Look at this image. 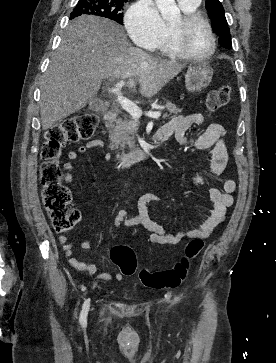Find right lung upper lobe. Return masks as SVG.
Here are the masks:
<instances>
[{
	"mask_svg": "<svg viewBox=\"0 0 276 363\" xmlns=\"http://www.w3.org/2000/svg\"><path fill=\"white\" fill-rule=\"evenodd\" d=\"M118 1H128V0H118Z\"/></svg>",
	"mask_w": 276,
	"mask_h": 363,
	"instance_id": "right-lung-upper-lobe-1",
	"label": "right lung upper lobe"
}]
</instances>
